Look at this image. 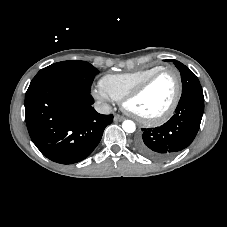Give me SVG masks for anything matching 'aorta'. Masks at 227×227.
<instances>
[{"label": "aorta", "mask_w": 227, "mask_h": 227, "mask_svg": "<svg viewBox=\"0 0 227 227\" xmlns=\"http://www.w3.org/2000/svg\"><path fill=\"white\" fill-rule=\"evenodd\" d=\"M122 128L126 133H133L136 130V125L132 120H125L122 123Z\"/></svg>", "instance_id": "762f6f07"}]
</instances>
